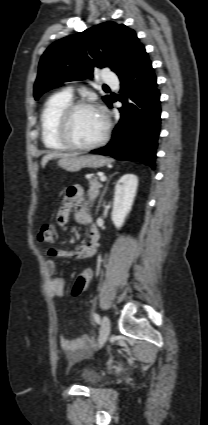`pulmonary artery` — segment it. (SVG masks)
<instances>
[{"label": "pulmonary artery", "instance_id": "e3ab8cb5", "mask_svg": "<svg viewBox=\"0 0 208 425\" xmlns=\"http://www.w3.org/2000/svg\"><path fill=\"white\" fill-rule=\"evenodd\" d=\"M103 81L107 85H117L118 82H119L117 76L114 73H110L107 70H105L103 72ZM65 93L68 94L69 96H72V90L71 89H67L65 91Z\"/></svg>", "mask_w": 208, "mask_h": 425}]
</instances>
